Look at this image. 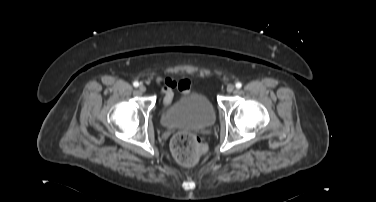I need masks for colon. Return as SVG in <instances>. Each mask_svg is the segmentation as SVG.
Returning <instances> with one entry per match:
<instances>
[{"mask_svg": "<svg viewBox=\"0 0 376 202\" xmlns=\"http://www.w3.org/2000/svg\"><path fill=\"white\" fill-rule=\"evenodd\" d=\"M170 145L174 158L181 164H194L207 152L204 140L192 133L181 132L174 135Z\"/></svg>", "mask_w": 376, "mask_h": 202, "instance_id": "colon-1", "label": "colon"}]
</instances>
